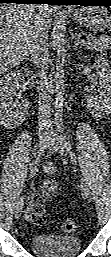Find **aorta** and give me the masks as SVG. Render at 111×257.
<instances>
[{
  "label": "aorta",
  "mask_w": 111,
  "mask_h": 257,
  "mask_svg": "<svg viewBox=\"0 0 111 257\" xmlns=\"http://www.w3.org/2000/svg\"><path fill=\"white\" fill-rule=\"evenodd\" d=\"M60 41V45L58 46L57 50V68H56V75H55V83H56V107L58 109L62 108L63 105V91H64V61H65V40L64 36L62 34L59 35L58 37Z\"/></svg>",
  "instance_id": "762f6f07"
}]
</instances>
